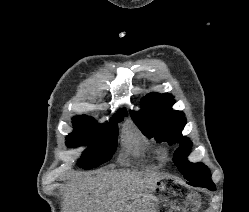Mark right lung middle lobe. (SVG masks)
I'll return each mask as SVG.
<instances>
[{"instance_id":"dd1d6c3e","label":"right lung middle lobe","mask_w":249,"mask_h":212,"mask_svg":"<svg viewBox=\"0 0 249 212\" xmlns=\"http://www.w3.org/2000/svg\"><path fill=\"white\" fill-rule=\"evenodd\" d=\"M125 111H119L110 123L92 126L94 119L86 115L73 118L74 132L69 134L67 145L78 147L87 145L77 165L84 169L97 167L112 158L117 145V122L123 120Z\"/></svg>"}]
</instances>
